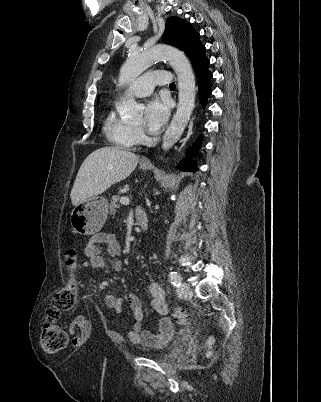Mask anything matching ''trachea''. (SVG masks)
I'll return each mask as SVG.
<instances>
[{"label":"trachea","instance_id":"3493384b","mask_svg":"<svg viewBox=\"0 0 321 402\" xmlns=\"http://www.w3.org/2000/svg\"><path fill=\"white\" fill-rule=\"evenodd\" d=\"M169 87H175V83L172 82V83L169 85Z\"/></svg>","mask_w":321,"mask_h":402}]
</instances>
